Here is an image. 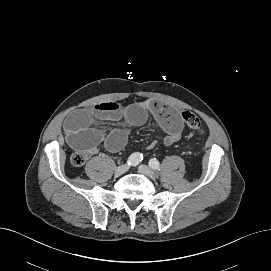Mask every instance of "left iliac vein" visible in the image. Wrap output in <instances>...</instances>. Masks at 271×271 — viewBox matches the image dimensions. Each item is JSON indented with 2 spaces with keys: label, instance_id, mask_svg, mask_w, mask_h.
Here are the masks:
<instances>
[{
  "label": "left iliac vein",
  "instance_id": "obj_1",
  "mask_svg": "<svg viewBox=\"0 0 271 271\" xmlns=\"http://www.w3.org/2000/svg\"><path fill=\"white\" fill-rule=\"evenodd\" d=\"M140 173L148 176L150 179L154 180L156 178L155 173L146 165H140L138 167Z\"/></svg>",
  "mask_w": 271,
  "mask_h": 271
}]
</instances>
